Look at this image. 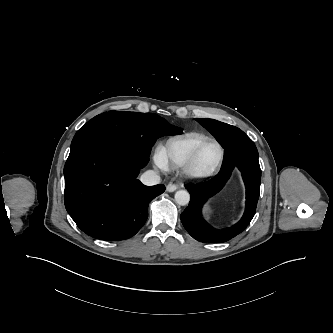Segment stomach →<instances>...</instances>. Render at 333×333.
Here are the masks:
<instances>
[{
    "instance_id": "stomach-1",
    "label": "stomach",
    "mask_w": 333,
    "mask_h": 333,
    "mask_svg": "<svg viewBox=\"0 0 333 333\" xmlns=\"http://www.w3.org/2000/svg\"><path fill=\"white\" fill-rule=\"evenodd\" d=\"M206 212L209 213V208L208 207L206 208Z\"/></svg>"
}]
</instances>
